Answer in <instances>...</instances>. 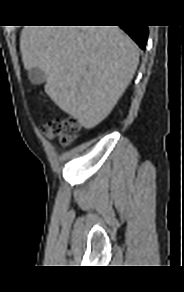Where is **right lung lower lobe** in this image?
I'll list each match as a JSON object with an SVG mask.
<instances>
[{"instance_id": "1", "label": "right lung lower lobe", "mask_w": 184, "mask_h": 292, "mask_svg": "<svg viewBox=\"0 0 184 292\" xmlns=\"http://www.w3.org/2000/svg\"><path fill=\"white\" fill-rule=\"evenodd\" d=\"M142 49H145L148 38L147 26H120Z\"/></svg>"}]
</instances>
